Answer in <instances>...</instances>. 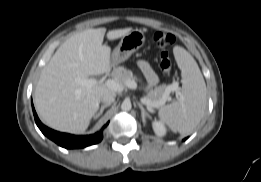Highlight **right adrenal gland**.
Masks as SVG:
<instances>
[{"label":"right adrenal gland","instance_id":"1","mask_svg":"<svg viewBox=\"0 0 261 182\" xmlns=\"http://www.w3.org/2000/svg\"><path fill=\"white\" fill-rule=\"evenodd\" d=\"M108 106H109V105H102V106L99 108L98 112H96V115L94 116V118H98L100 115H102L104 109L107 108Z\"/></svg>","mask_w":261,"mask_h":182}]
</instances>
